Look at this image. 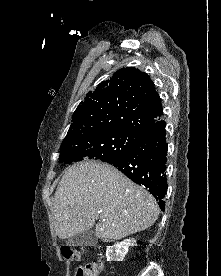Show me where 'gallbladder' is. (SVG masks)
Masks as SVG:
<instances>
[{
    "label": "gallbladder",
    "mask_w": 221,
    "mask_h": 276,
    "mask_svg": "<svg viewBox=\"0 0 221 276\" xmlns=\"http://www.w3.org/2000/svg\"><path fill=\"white\" fill-rule=\"evenodd\" d=\"M69 246H94L97 244L95 232L91 229L69 237L66 241Z\"/></svg>",
    "instance_id": "obj_1"
}]
</instances>
